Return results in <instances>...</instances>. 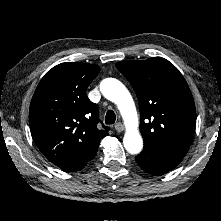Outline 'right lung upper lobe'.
<instances>
[{"label": "right lung upper lobe", "mask_w": 221, "mask_h": 221, "mask_svg": "<svg viewBox=\"0 0 221 221\" xmlns=\"http://www.w3.org/2000/svg\"><path fill=\"white\" fill-rule=\"evenodd\" d=\"M98 65L77 62L52 68L38 84L30 104L34 142L59 168L79 164L93 154L108 130H99L98 106L86 95Z\"/></svg>", "instance_id": "cb5924a9"}]
</instances>
